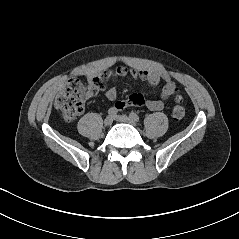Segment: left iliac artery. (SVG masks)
Segmentation results:
<instances>
[{
  "label": "left iliac artery",
  "instance_id": "obj_1",
  "mask_svg": "<svg viewBox=\"0 0 239 239\" xmlns=\"http://www.w3.org/2000/svg\"><path fill=\"white\" fill-rule=\"evenodd\" d=\"M130 118L137 122L140 120L139 116L134 112L130 113Z\"/></svg>",
  "mask_w": 239,
  "mask_h": 239
}]
</instances>
